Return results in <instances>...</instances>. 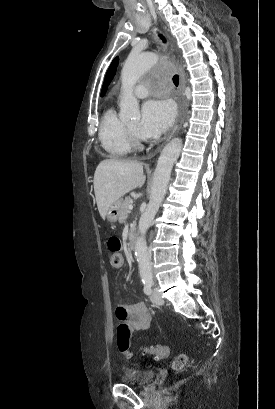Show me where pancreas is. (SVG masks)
I'll use <instances>...</instances> for the list:
<instances>
[{
	"instance_id": "cf45deb5",
	"label": "pancreas",
	"mask_w": 275,
	"mask_h": 409,
	"mask_svg": "<svg viewBox=\"0 0 275 409\" xmlns=\"http://www.w3.org/2000/svg\"><path fill=\"white\" fill-rule=\"evenodd\" d=\"M133 202L131 196H125V200L122 202V207L119 215V223H125L127 215L129 213V205ZM135 225V221L133 223Z\"/></svg>"
}]
</instances>
